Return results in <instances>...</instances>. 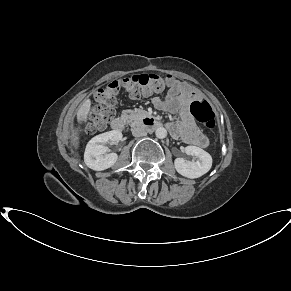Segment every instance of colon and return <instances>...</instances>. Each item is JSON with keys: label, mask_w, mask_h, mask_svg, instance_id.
Returning a JSON list of instances; mask_svg holds the SVG:
<instances>
[{"label": "colon", "mask_w": 291, "mask_h": 291, "mask_svg": "<svg viewBox=\"0 0 291 291\" xmlns=\"http://www.w3.org/2000/svg\"><path fill=\"white\" fill-rule=\"evenodd\" d=\"M172 82L171 76L155 73L132 74L109 82L97 93V105L91 113L88 130L94 132L106 127L115 114V105L120 89H125L132 98H139L161 93L171 86ZM190 111L205 128L208 130L215 128V114L207 102L193 101Z\"/></svg>", "instance_id": "5ec220e1"}]
</instances>
